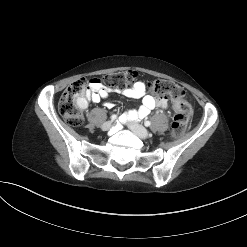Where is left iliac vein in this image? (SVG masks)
I'll return each mask as SVG.
<instances>
[{
    "label": "left iliac vein",
    "mask_w": 247,
    "mask_h": 247,
    "mask_svg": "<svg viewBox=\"0 0 247 247\" xmlns=\"http://www.w3.org/2000/svg\"><path fill=\"white\" fill-rule=\"evenodd\" d=\"M128 126L130 127L132 132L141 139H146L150 136L149 131L145 127H143L142 125L136 122L129 121Z\"/></svg>",
    "instance_id": "left-iliac-vein-1"
}]
</instances>
